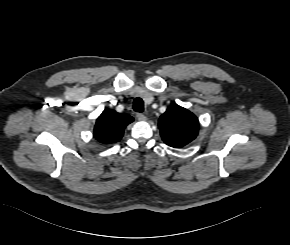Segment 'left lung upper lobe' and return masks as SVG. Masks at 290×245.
Instances as JSON below:
<instances>
[{
	"label": "left lung upper lobe",
	"mask_w": 290,
	"mask_h": 245,
	"mask_svg": "<svg viewBox=\"0 0 290 245\" xmlns=\"http://www.w3.org/2000/svg\"><path fill=\"white\" fill-rule=\"evenodd\" d=\"M163 141L175 148L183 147L194 140L198 134L199 122L189 110L171 105L159 119Z\"/></svg>",
	"instance_id": "5c2ea615"
}]
</instances>
